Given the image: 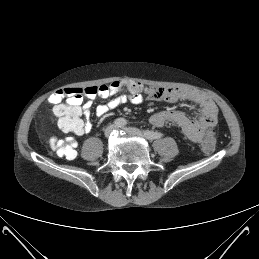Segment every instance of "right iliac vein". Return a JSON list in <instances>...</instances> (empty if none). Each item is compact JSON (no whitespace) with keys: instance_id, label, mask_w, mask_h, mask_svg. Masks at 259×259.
I'll use <instances>...</instances> for the list:
<instances>
[{"instance_id":"right-iliac-vein-1","label":"right iliac vein","mask_w":259,"mask_h":259,"mask_svg":"<svg viewBox=\"0 0 259 259\" xmlns=\"http://www.w3.org/2000/svg\"><path fill=\"white\" fill-rule=\"evenodd\" d=\"M115 128H116L115 125H110V126H108V127L104 130V135H105L106 137H109V136L112 134V132L114 131Z\"/></svg>"}]
</instances>
